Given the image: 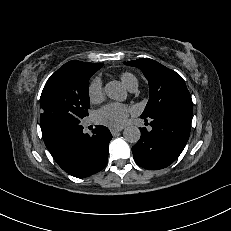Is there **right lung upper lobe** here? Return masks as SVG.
<instances>
[{
    "mask_svg": "<svg viewBox=\"0 0 231 231\" xmlns=\"http://www.w3.org/2000/svg\"><path fill=\"white\" fill-rule=\"evenodd\" d=\"M103 64H92L87 62H81V61H69L66 64H64L62 67H74V68H89V67H102Z\"/></svg>",
    "mask_w": 231,
    "mask_h": 231,
    "instance_id": "1",
    "label": "right lung upper lobe"
}]
</instances>
